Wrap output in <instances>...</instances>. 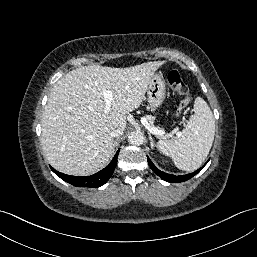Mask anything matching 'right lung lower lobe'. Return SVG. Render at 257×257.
Listing matches in <instances>:
<instances>
[{
    "label": "right lung lower lobe",
    "mask_w": 257,
    "mask_h": 257,
    "mask_svg": "<svg viewBox=\"0 0 257 257\" xmlns=\"http://www.w3.org/2000/svg\"><path fill=\"white\" fill-rule=\"evenodd\" d=\"M118 150L115 154V156L113 157L112 161L109 163V165L107 167H105L104 169H102L101 171H99L96 174H93L91 176H87V177H76V176H70V175H66L63 173H60L58 171H56L55 169H52V171L59 176L61 179H63L64 181L77 186V187H100L103 184H105L109 178L112 176L114 169L117 165V157L119 154Z\"/></svg>",
    "instance_id": "98d812e1"
}]
</instances>
